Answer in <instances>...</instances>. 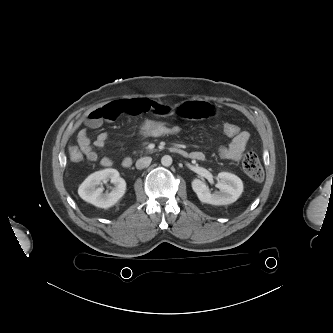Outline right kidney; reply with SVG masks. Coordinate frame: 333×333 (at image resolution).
<instances>
[{
	"instance_id": "1",
	"label": "right kidney",
	"mask_w": 333,
	"mask_h": 333,
	"mask_svg": "<svg viewBox=\"0 0 333 333\" xmlns=\"http://www.w3.org/2000/svg\"><path fill=\"white\" fill-rule=\"evenodd\" d=\"M110 179L114 184L111 192L103 193L102 188H97L101 181ZM126 182L120 177L116 169H104L89 175L79 186V196L88 203L100 208H109L115 205L125 194Z\"/></svg>"
}]
</instances>
